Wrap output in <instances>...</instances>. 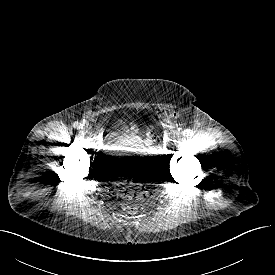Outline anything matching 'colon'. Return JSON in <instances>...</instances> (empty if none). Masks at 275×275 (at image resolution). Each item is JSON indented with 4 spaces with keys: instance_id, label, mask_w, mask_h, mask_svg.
Wrapping results in <instances>:
<instances>
[{
    "instance_id": "obj_1",
    "label": "colon",
    "mask_w": 275,
    "mask_h": 275,
    "mask_svg": "<svg viewBox=\"0 0 275 275\" xmlns=\"http://www.w3.org/2000/svg\"><path fill=\"white\" fill-rule=\"evenodd\" d=\"M163 116L166 117H176L177 113L174 110L164 108L160 112ZM119 195L126 201V203L123 204L122 208L124 211L128 213H132L135 211L134 205L129 203L130 201H141L144 200L147 196V191L143 186H141L138 183L129 181L120 183L116 187Z\"/></svg>"
}]
</instances>
